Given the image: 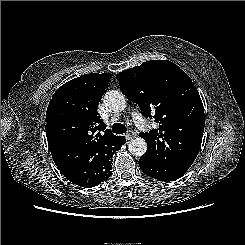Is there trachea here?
Segmentation results:
<instances>
[{
	"instance_id": "trachea-1",
	"label": "trachea",
	"mask_w": 245,
	"mask_h": 245,
	"mask_svg": "<svg viewBox=\"0 0 245 245\" xmlns=\"http://www.w3.org/2000/svg\"><path fill=\"white\" fill-rule=\"evenodd\" d=\"M112 130H113V133L122 134L127 131V128L125 127V125L121 123H114L112 126Z\"/></svg>"
}]
</instances>
